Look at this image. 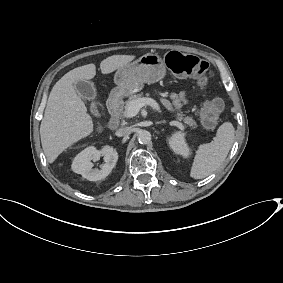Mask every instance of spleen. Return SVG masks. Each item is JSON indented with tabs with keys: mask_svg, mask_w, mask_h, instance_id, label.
<instances>
[{
	"mask_svg": "<svg viewBox=\"0 0 283 283\" xmlns=\"http://www.w3.org/2000/svg\"><path fill=\"white\" fill-rule=\"evenodd\" d=\"M235 138V128L231 122H224L210 143L198 146L195 151L190 177L203 179L213 174L225 161Z\"/></svg>",
	"mask_w": 283,
	"mask_h": 283,
	"instance_id": "1",
	"label": "spleen"
}]
</instances>
